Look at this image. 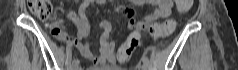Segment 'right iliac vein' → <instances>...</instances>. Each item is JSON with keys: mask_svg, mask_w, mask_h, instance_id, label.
<instances>
[{"mask_svg": "<svg viewBox=\"0 0 238 70\" xmlns=\"http://www.w3.org/2000/svg\"><path fill=\"white\" fill-rule=\"evenodd\" d=\"M73 70H80V68H79V66L77 65V66H74V67H73Z\"/></svg>", "mask_w": 238, "mask_h": 70, "instance_id": "obj_1", "label": "right iliac vein"}]
</instances>
